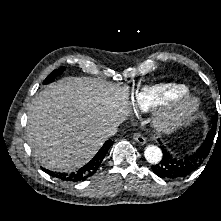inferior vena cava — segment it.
Here are the masks:
<instances>
[{
    "mask_svg": "<svg viewBox=\"0 0 221 221\" xmlns=\"http://www.w3.org/2000/svg\"><path fill=\"white\" fill-rule=\"evenodd\" d=\"M117 131H118L117 126H111L104 131L103 135L106 139H108V138L114 136L117 133Z\"/></svg>",
    "mask_w": 221,
    "mask_h": 221,
    "instance_id": "1",
    "label": "inferior vena cava"
}]
</instances>
